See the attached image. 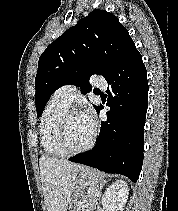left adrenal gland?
Instances as JSON below:
<instances>
[{
  "mask_svg": "<svg viewBox=\"0 0 178 211\" xmlns=\"http://www.w3.org/2000/svg\"><path fill=\"white\" fill-rule=\"evenodd\" d=\"M106 183H107V181H106V180H103V181L101 182V184H100V189H99L100 193H99V196H98V200H100V197H101V190H102L103 186H104Z\"/></svg>",
  "mask_w": 178,
  "mask_h": 211,
  "instance_id": "1",
  "label": "left adrenal gland"
}]
</instances>
